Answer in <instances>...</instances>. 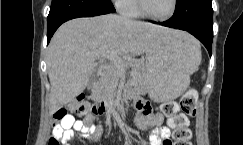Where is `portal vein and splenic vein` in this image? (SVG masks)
<instances>
[{"label":"portal vein and splenic vein","mask_w":243,"mask_h":145,"mask_svg":"<svg viewBox=\"0 0 243 145\" xmlns=\"http://www.w3.org/2000/svg\"><path fill=\"white\" fill-rule=\"evenodd\" d=\"M96 55H100V56L106 57L107 59H109L110 61H112L122 72L125 71L126 65H125L123 59H121L115 53H113L111 51H108V49L98 50L96 52Z\"/></svg>","instance_id":"portal-vein-and-splenic-vein-1"}]
</instances>
